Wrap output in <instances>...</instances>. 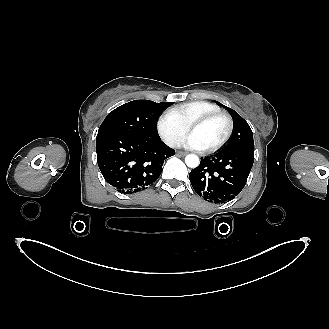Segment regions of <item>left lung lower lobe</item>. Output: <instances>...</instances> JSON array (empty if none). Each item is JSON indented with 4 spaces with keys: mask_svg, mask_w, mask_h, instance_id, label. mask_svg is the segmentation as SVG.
Instances as JSON below:
<instances>
[{
    "mask_svg": "<svg viewBox=\"0 0 329 329\" xmlns=\"http://www.w3.org/2000/svg\"><path fill=\"white\" fill-rule=\"evenodd\" d=\"M254 162V150L220 151L201 158L190 174L196 193L207 201L225 203L244 188Z\"/></svg>",
    "mask_w": 329,
    "mask_h": 329,
    "instance_id": "obj_1",
    "label": "left lung lower lobe"
}]
</instances>
